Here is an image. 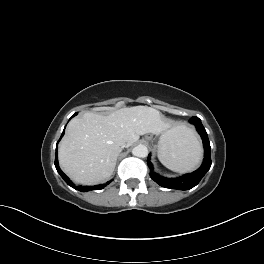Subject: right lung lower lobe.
<instances>
[{
	"label": "right lung lower lobe",
	"instance_id": "right-lung-lower-lobe-1",
	"mask_svg": "<svg viewBox=\"0 0 264 264\" xmlns=\"http://www.w3.org/2000/svg\"><path fill=\"white\" fill-rule=\"evenodd\" d=\"M77 113H75L72 117H74ZM71 117V118H72ZM65 131H63L61 137L63 136ZM60 137V138H61ZM55 167L58 171V173L61 175V177L64 179V181L70 185L71 187H73L74 189L78 190V191H81V192H87L89 190H96V189H102L104 188L105 186H107L111 181L107 182L106 184H102V185H97V186H75L70 180L69 178L62 172V170L59 168V165H58V159H57V148H56V157H55Z\"/></svg>",
	"mask_w": 264,
	"mask_h": 264
}]
</instances>
